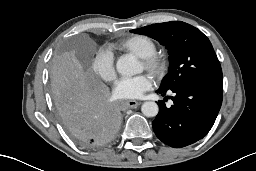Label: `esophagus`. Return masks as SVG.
Returning <instances> with one entry per match:
<instances>
[{
	"instance_id": "esophagus-1",
	"label": "esophagus",
	"mask_w": 256,
	"mask_h": 171,
	"mask_svg": "<svg viewBox=\"0 0 256 171\" xmlns=\"http://www.w3.org/2000/svg\"><path fill=\"white\" fill-rule=\"evenodd\" d=\"M141 103L139 101H136V100H128L126 102V105L129 107V108H136L137 106H139Z\"/></svg>"
}]
</instances>
